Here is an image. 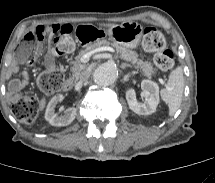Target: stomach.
<instances>
[{
	"instance_id": "1",
	"label": "stomach",
	"mask_w": 215,
	"mask_h": 183,
	"mask_svg": "<svg viewBox=\"0 0 215 183\" xmlns=\"http://www.w3.org/2000/svg\"><path fill=\"white\" fill-rule=\"evenodd\" d=\"M103 32L109 36L111 41L130 49L139 45L143 35L142 27L133 22L113 26Z\"/></svg>"
}]
</instances>
